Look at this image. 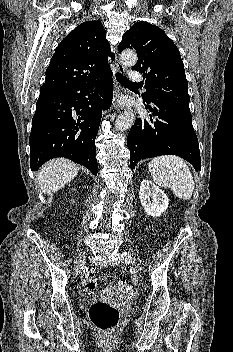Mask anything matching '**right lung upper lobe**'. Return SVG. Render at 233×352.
Segmentation results:
<instances>
[{
	"label": "right lung upper lobe",
	"mask_w": 233,
	"mask_h": 352,
	"mask_svg": "<svg viewBox=\"0 0 233 352\" xmlns=\"http://www.w3.org/2000/svg\"><path fill=\"white\" fill-rule=\"evenodd\" d=\"M110 44L100 21H87L69 33L58 45L40 89L67 91L74 85L99 77L110 68Z\"/></svg>",
	"instance_id": "obj_1"
}]
</instances>
